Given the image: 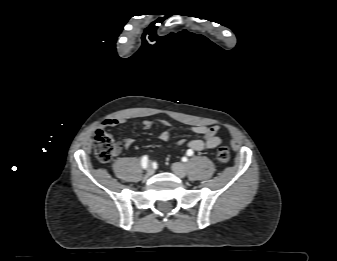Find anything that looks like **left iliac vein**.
<instances>
[{
  "label": "left iliac vein",
  "instance_id": "4c4485c4",
  "mask_svg": "<svg viewBox=\"0 0 337 261\" xmlns=\"http://www.w3.org/2000/svg\"><path fill=\"white\" fill-rule=\"evenodd\" d=\"M172 171L180 178H184L187 175V170L184 164L182 163H173Z\"/></svg>",
  "mask_w": 337,
  "mask_h": 261
}]
</instances>
